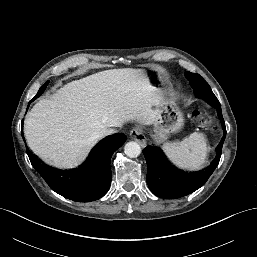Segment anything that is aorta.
I'll list each match as a JSON object with an SVG mask.
<instances>
[{
  "label": "aorta",
  "instance_id": "762f6f07",
  "mask_svg": "<svg viewBox=\"0 0 257 257\" xmlns=\"http://www.w3.org/2000/svg\"><path fill=\"white\" fill-rule=\"evenodd\" d=\"M124 152H125L126 156H128L130 158H135L140 155L141 147L138 143H136L134 141H130L125 144Z\"/></svg>",
  "mask_w": 257,
  "mask_h": 257
}]
</instances>
